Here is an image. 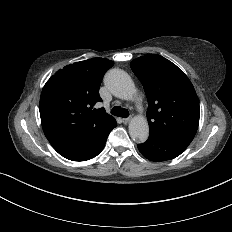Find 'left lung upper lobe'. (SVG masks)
<instances>
[{"label": "left lung upper lobe", "mask_w": 232, "mask_h": 232, "mask_svg": "<svg viewBox=\"0 0 232 232\" xmlns=\"http://www.w3.org/2000/svg\"><path fill=\"white\" fill-rule=\"evenodd\" d=\"M142 83L147 99L150 134L184 148L199 125V101L188 77L166 58L149 54L130 64Z\"/></svg>", "instance_id": "1"}]
</instances>
